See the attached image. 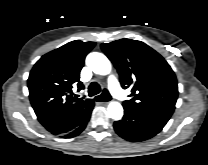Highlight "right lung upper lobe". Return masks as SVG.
Instances as JSON below:
<instances>
[{
	"mask_svg": "<svg viewBox=\"0 0 208 165\" xmlns=\"http://www.w3.org/2000/svg\"><path fill=\"white\" fill-rule=\"evenodd\" d=\"M95 42L72 41L42 56L28 78L29 98L40 123L52 134L79 125L93 108L91 99L73 97V85L83 88L80 71Z\"/></svg>",
	"mask_w": 208,
	"mask_h": 165,
	"instance_id": "1",
	"label": "right lung upper lobe"
}]
</instances>
